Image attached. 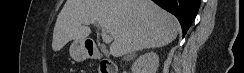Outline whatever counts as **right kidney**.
Here are the masks:
<instances>
[{
    "label": "right kidney",
    "mask_w": 244,
    "mask_h": 73,
    "mask_svg": "<svg viewBox=\"0 0 244 73\" xmlns=\"http://www.w3.org/2000/svg\"><path fill=\"white\" fill-rule=\"evenodd\" d=\"M159 66V57L155 52L141 55L132 65L133 73H156Z\"/></svg>",
    "instance_id": "right-kidney-1"
}]
</instances>
